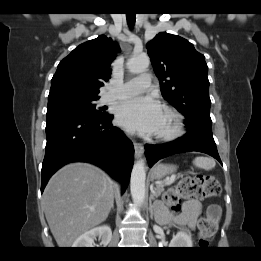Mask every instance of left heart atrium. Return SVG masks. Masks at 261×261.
Segmentation results:
<instances>
[{"mask_svg": "<svg viewBox=\"0 0 261 261\" xmlns=\"http://www.w3.org/2000/svg\"><path fill=\"white\" fill-rule=\"evenodd\" d=\"M120 126L141 135L159 133L165 116L163 106L151 96H136L122 101L116 112Z\"/></svg>", "mask_w": 261, "mask_h": 261, "instance_id": "39dd6f15", "label": "left heart atrium"}]
</instances>
